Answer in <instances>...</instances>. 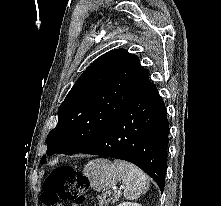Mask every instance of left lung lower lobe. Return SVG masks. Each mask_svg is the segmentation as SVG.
I'll return each instance as SVG.
<instances>
[{"label": "left lung lower lobe", "mask_w": 221, "mask_h": 206, "mask_svg": "<svg viewBox=\"0 0 221 206\" xmlns=\"http://www.w3.org/2000/svg\"><path fill=\"white\" fill-rule=\"evenodd\" d=\"M169 123L154 84L146 89L91 144L78 153L122 159L165 185Z\"/></svg>", "instance_id": "1"}]
</instances>
